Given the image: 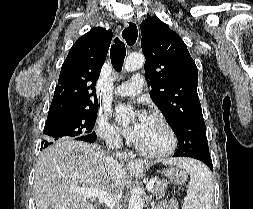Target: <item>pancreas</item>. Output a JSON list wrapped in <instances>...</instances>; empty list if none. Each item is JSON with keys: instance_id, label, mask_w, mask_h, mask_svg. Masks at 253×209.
Segmentation results:
<instances>
[{"instance_id": "cf45deb5", "label": "pancreas", "mask_w": 253, "mask_h": 209, "mask_svg": "<svg viewBox=\"0 0 253 209\" xmlns=\"http://www.w3.org/2000/svg\"><path fill=\"white\" fill-rule=\"evenodd\" d=\"M167 187L168 182L166 180H156L151 192L159 200L165 195Z\"/></svg>"}]
</instances>
